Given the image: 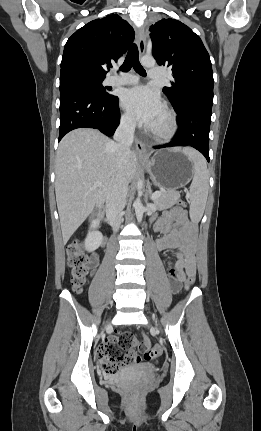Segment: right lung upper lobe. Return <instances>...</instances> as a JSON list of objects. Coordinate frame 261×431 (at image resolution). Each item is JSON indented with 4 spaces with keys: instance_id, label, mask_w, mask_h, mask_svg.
Masks as SVG:
<instances>
[{
    "instance_id": "right-lung-upper-lobe-1",
    "label": "right lung upper lobe",
    "mask_w": 261,
    "mask_h": 431,
    "mask_svg": "<svg viewBox=\"0 0 261 431\" xmlns=\"http://www.w3.org/2000/svg\"><path fill=\"white\" fill-rule=\"evenodd\" d=\"M134 36L133 28L117 14L89 22L66 42L61 74L81 70L105 77L111 62L125 54Z\"/></svg>"
}]
</instances>
